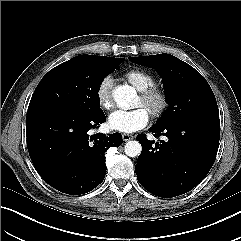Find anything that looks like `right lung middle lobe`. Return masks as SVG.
Here are the masks:
<instances>
[{"label": "right lung middle lobe", "instance_id": "right-lung-middle-lobe-1", "mask_svg": "<svg viewBox=\"0 0 241 241\" xmlns=\"http://www.w3.org/2000/svg\"><path fill=\"white\" fill-rule=\"evenodd\" d=\"M123 60L80 55L56 66L36 87L28 114L52 109L84 116L101 112L100 85Z\"/></svg>", "mask_w": 241, "mask_h": 241}]
</instances>
